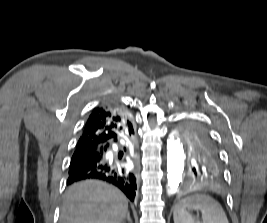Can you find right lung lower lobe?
<instances>
[{"instance_id": "98d812e1", "label": "right lung lower lobe", "mask_w": 267, "mask_h": 223, "mask_svg": "<svg viewBox=\"0 0 267 223\" xmlns=\"http://www.w3.org/2000/svg\"><path fill=\"white\" fill-rule=\"evenodd\" d=\"M133 134L134 130L132 127L125 132L126 140H131V135ZM119 140L101 145L94 150H86L81 155L72 157L67 185L86 179L102 180L120 188L133 201L137 189L136 176L132 172L115 166L107 155L112 149L111 143L117 144ZM119 158H121L120 155Z\"/></svg>"}]
</instances>
